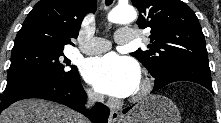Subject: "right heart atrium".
I'll return each instance as SVG.
<instances>
[{
    "label": "right heart atrium",
    "mask_w": 221,
    "mask_h": 123,
    "mask_svg": "<svg viewBox=\"0 0 221 123\" xmlns=\"http://www.w3.org/2000/svg\"><path fill=\"white\" fill-rule=\"evenodd\" d=\"M86 93H87V96L89 97V99H91L93 101L100 100V95L97 94L96 92H94L93 90L87 89Z\"/></svg>",
    "instance_id": "1"
}]
</instances>
